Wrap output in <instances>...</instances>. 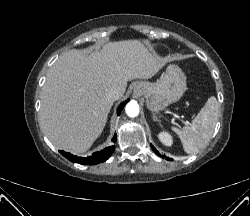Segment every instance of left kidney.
Returning <instances> with one entry per match:
<instances>
[{
  "label": "left kidney",
  "mask_w": 250,
  "mask_h": 216,
  "mask_svg": "<svg viewBox=\"0 0 250 216\" xmlns=\"http://www.w3.org/2000/svg\"><path fill=\"white\" fill-rule=\"evenodd\" d=\"M158 138L165 146H171L173 143L172 136L165 131L160 132Z\"/></svg>",
  "instance_id": "obj_1"
}]
</instances>
